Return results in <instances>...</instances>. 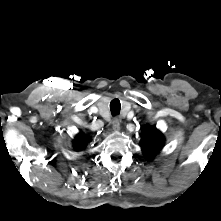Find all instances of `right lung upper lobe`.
Wrapping results in <instances>:
<instances>
[{
	"instance_id": "obj_1",
	"label": "right lung upper lobe",
	"mask_w": 221,
	"mask_h": 221,
	"mask_svg": "<svg viewBox=\"0 0 221 221\" xmlns=\"http://www.w3.org/2000/svg\"><path fill=\"white\" fill-rule=\"evenodd\" d=\"M89 141V138L86 137L84 134L80 133L76 136L75 138V149L80 151L82 150V148H84L87 144V142Z\"/></svg>"
}]
</instances>
